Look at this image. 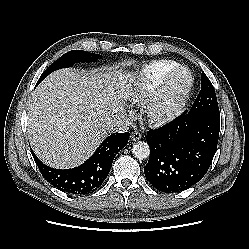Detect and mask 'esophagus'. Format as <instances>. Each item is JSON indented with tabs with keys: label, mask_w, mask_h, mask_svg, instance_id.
<instances>
[{
	"label": "esophagus",
	"mask_w": 249,
	"mask_h": 249,
	"mask_svg": "<svg viewBox=\"0 0 249 249\" xmlns=\"http://www.w3.org/2000/svg\"><path fill=\"white\" fill-rule=\"evenodd\" d=\"M130 137H131L132 141H137V140L141 139V134L139 132H137V131H133L131 133Z\"/></svg>",
	"instance_id": "34e87169"
}]
</instances>
